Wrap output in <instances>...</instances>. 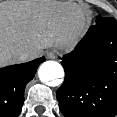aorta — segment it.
I'll list each match as a JSON object with an SVG mask.
<instances>
[{"mask_svg": "<svg viewBox=\"0 0 117 117\" xmlns=\"http://www.w3.org/2000/svg\"><path fill=\"white\" fill-rule=\"evenodd\" d=\"M39 79L43 83L64 77V69L56 61H45L38 69Z\"/></svg>", "mask_w": 117, "mask_h": 117, "instance_id": "obj_1", "label": "aorta"}]
</instances>
